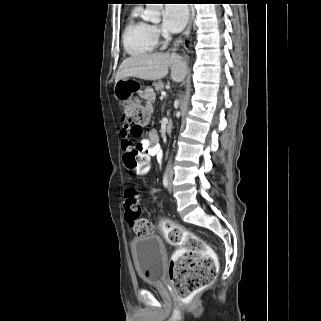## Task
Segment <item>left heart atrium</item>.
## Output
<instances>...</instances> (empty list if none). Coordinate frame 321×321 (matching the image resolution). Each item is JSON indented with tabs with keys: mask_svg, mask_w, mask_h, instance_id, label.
<instances>
[{
	"mask_svg": "<svg viewBox=\"0 0 321 321\" xmlns=\"http://www.w3.org/2000/svg\"><path fill=\"white\" fill-rule=\"evenodd\" d=\"M188 19V9L183 4H167L163 12V28L167 32L181 31Z\"/></svg>",
	"mask_w": 321,
	"mask_h": 321,
	"instance_id": "1",
	"label": "left heart atrium"
}]
</instances>
